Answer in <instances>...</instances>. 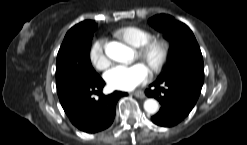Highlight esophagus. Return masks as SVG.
Segmentation results:
<instances>
[{
  "label": "esophagus",
  "instance_id": "obj_1",
  "mask_svg": "<svg viewBox=\"0 0 247 145\" xmlns=\"http://www.w3.org/2000/svg\"><path fill=\"white\" fill-rule=\"evenodd\" d=\"M133 95H134L135 97H137V98H140V99H143V98L146 97V96H145V93H144L143 91H135V92L133 93Z\"/></svg>",
  "mask_w": 247,
  "mask_h": 145
}]
</instances>
